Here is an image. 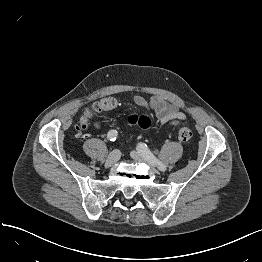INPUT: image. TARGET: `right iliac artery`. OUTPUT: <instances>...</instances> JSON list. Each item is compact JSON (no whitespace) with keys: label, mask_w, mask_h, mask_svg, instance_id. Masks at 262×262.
<instances>
[{"label":"right iliac artery","mask_w":262,"mask_h":262,"mask_svg":"<svg viewBox=\"0 0 262 262\" xmlns=\"http://www.w3.org/2000/svg\"><path fill=\"white\" fill-rule=\"evenodd\" d=\"M118 136V132L116 130H110L107 134V138L110 141H115Z\"/></svg>","instance_id":"1"}]
</instances>
